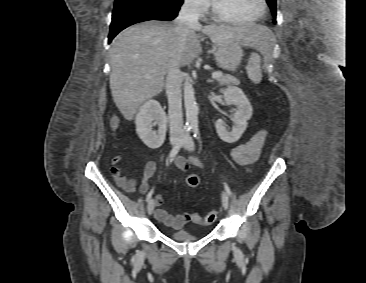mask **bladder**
<instances>
[{"instance_id": "1", "label": "bladder", "mask_w": 366, "mask_h": 283, "mask_svg": "<svg viewBox=\"0 0 366 283\" xmlns=\"http://www.w3.org/2000/svg\"><path fill=\"white\" fill-rule=\"evenodd\" d=\"M169 237L176 241H193L199 239L201 236L192 234L190 232H187L185 230L176 231V232H170Z\"/></svg>"}]
</instances>
